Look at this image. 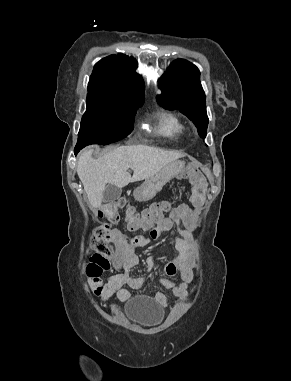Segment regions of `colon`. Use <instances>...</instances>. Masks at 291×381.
Segmentation results:
<instances>
[{
	"label": "colon",
	"mask_w": 291,
	"mask_h": 381,
	"mask_svg": "<svg viewBox=\"0 0 291 381\" xmlns=\"http://www.w3.org/2000/svg\"><path fill=\"white\" fill-rule=\"evenodd\" d=\"M191 199L196 205L203 202V185H197L194 188L191 194ZM169 207L170 205L167 202H158L142 212H136L131 206L126 205L124 201H113L103 205L100 209V217L105 222L97 231L93 253L87 266V274L90 277H99L103 272L110 268V259L113 252L109 243L115 237L113 230L110 228V224L115 223L120 219L122 211L124 212L129 231H146L153 229L156 225L166 219V213L168 212Z\"/></svg>",
	"instance_id": "obj_1"
}]
</instances>
